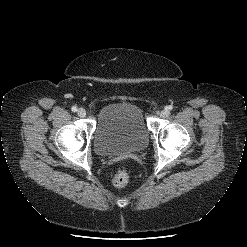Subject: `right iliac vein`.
<instances>
[{"instance_id": "1", "label": "right iliac vein", "mask_w": 247, "mask_h": 247, "mask_svg": "<svg viewBox=\"0 0 247 247\" xmlns=\"http://www.w3.org/2000/svg\"><path fill=\"white\" fill-rule=\"evenodd\" d=\"M77 114H78L79 117H85L86 116V111L83 108H79L77 110Z\"/></svg>"}]
</instances>
